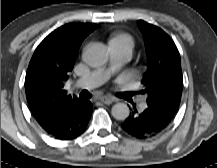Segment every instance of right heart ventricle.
Here are the masks:
<instances>
[{"label":"right heart ventricle","mask_w":217,"mask_h":168,"mask_svg":"<svg viewBox=\"0 0 217 168\" xmlns=\"http://www.w3.org/2000/svg\"><path fill=\"white\" fill-rule=\"evenodd\" d=\"M110 44H122L126 47L129 48V50L132 53L133 50V40L132 38L127 35V34H123V33H117L114 34L109 41Z\"/></svg>","instance_id":"1"}]
</instances>
